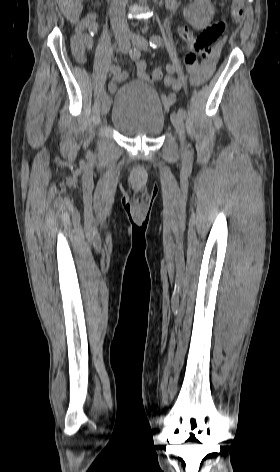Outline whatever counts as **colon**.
Here are the masks:
<instances>
[{
  "instance_id": "obj_1",
  "label": "colon",
  "mask_w": 280,
  "mask_h": 472,
  "mask_svg": "<svg viewBox=\"0 0 280 472\" xmlns=\"http://www.w3.org/2000/svg\"><path fill=\"white\" fill-rule=\"evenodd\" d=\"M245 0H232L230 15L234 22H239L243 16ZM226 30V22L219 21L207 27L189 45L188 53L185 57L186 65H195L198 58H208L224 44L222 35ZM163 77L161 68H155L148 76L149 81H159Z\"/></svg>"
}]
</instances>
